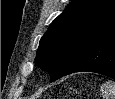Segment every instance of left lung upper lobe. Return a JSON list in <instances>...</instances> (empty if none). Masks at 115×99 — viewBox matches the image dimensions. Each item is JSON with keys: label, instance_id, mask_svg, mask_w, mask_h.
I'll return each mask as SVG.
<instances>
[{"label": "left lung upper lobe", "instance_id": "left-lung-upper-lobe-1", "mask_svg": "<svg viewBox=\"0 0 115 99\" xmlns=\"http://www.w3.org/2000/svg\"><path fill=\"white\" fill-rule=\"evenodd\" d=\"M113 27L115 0H73L41 38L36 64L57 80Z\"/></svg>", "mask_w": 115, "mask_h": 99}]
</instances>
